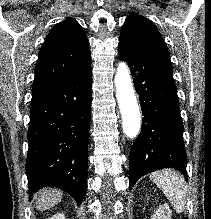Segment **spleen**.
<instances>
[{"instance_id":"obj_1","label":"spleen","mask_w":211,"mask_h":219,"mask_svg":"<svg viewBox=\"0 0 211 219\" xmlns=\"http://www.w3.org/2000/svg\"><path fill=\"white\" fill-rule=\"evenodd\" d=\"M150 178L163 191L174 210L177 213L183 212L187 200L184 177L174 170L165 169L152 173Z\"/></svg>"}]
</instances>
